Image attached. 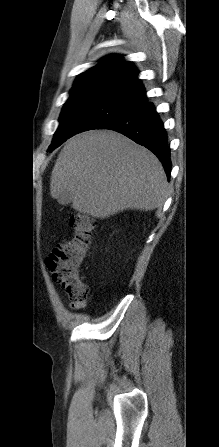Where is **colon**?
Listing matches in <instances>:
<instances>
[{
  "instance_id": "obj_1",
  "label": "colon",
  "mask_w": 219,
  "mask_h": 447,
  "mask_svg": "<svg viewBox=\"0 0 219 447\" xmlns=\"http://www.w3.org/2000/svg\"><path fill=\"white\" fill-rule=\"evenodd\" d=\"M74 234L59 243L47 259L53 280L66 291L71 302H85L88 289L81 281L79 270L85 259L94 229V220L84 214H73L69 219Z\"/></svg>"
}]
</instances>
